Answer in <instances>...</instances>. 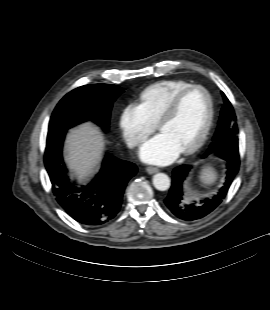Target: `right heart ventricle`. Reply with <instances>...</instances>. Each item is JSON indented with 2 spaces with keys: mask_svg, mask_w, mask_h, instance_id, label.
Listing matches in <instances>:
<instances>
[{
  "mask_svg": "<svg viewBox=\"0 0 270 310\" xmlns=\"http://www.w3.org/2000/svg\"><path fill=\"white\" fill-rule=\"evenodd\" d=\"M190 83L183 80H164L156 82L145 89L139 95L140 105L147 113L150 120L157 122L160 114L167 106L171 98Z\"/></svg>",
  "mask_w": 270,
  "mask_h": 310,
  "instance_id": "1",
  "label": "right heart ventricle"
}]
</instances>
